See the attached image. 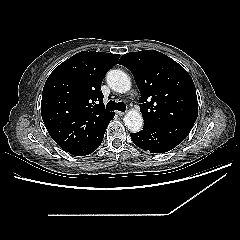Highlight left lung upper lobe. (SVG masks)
<instances>
[{"label":"left lung upper lobe","mask_w":240,"mask_h":240,"mask_svg":"<svg viewBox=\"0 0 240 240\" xmlns=\"http://www.w3.org/2000/svg\"><path fill=\"white\" fill-rule=\"evenodd\" d=\"M119 63L131 70L136 79L146 124L195 123L196 88L180 64L155 50L127 53Z\"/></svg>","instance_id":"1"}]
</instances>
